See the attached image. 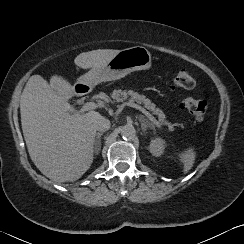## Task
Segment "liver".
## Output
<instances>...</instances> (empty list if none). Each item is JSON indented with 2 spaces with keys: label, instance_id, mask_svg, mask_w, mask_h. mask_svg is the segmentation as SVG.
<instances>
[{
  "label": "liver",
  "instance_id": "obj_1",
  "mask_svg": "<svg viewBox=\"0 0 244 244\" xmlns=\"http://www.w3.org/2000/svg\"><path fill=\"white\" fill-rule=\"evenodd\" d=\"M119 50L98 49L79 54L74 63L98 68ZM74 87L62 76L48 83L40 75L28 80L20 100L23 136L31 160L49 179L72 182L79 179L93 162L99 112L75 111L68 100Z\"/></svg>",
  "mask_w": 244,
  "mask_h": 244
}]
</instances>
